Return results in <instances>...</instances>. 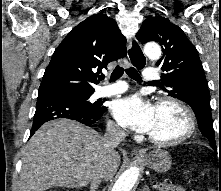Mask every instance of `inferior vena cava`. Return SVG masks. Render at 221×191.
<instances>
[{"label": "inferior vena cava", "mask_w": 221, "mask_h": 191, "mask_svg": "<svg viewBox=\"0 0 221 191\" xmlns=\"http://www.w3.org/2000/svg\"><path fill=\"white\" fill-rule=\"evenodd\" d=\"M124 137V132L119 127H111L107 130L103 137L105 143L106 152L113 155L115 148L120 144ZM105 170L102 169L98 173L94 174L91 179V191H95L100 184L101 180H105Z\"/></svg>", "instance_id": "602c4592"}]
</instances>
